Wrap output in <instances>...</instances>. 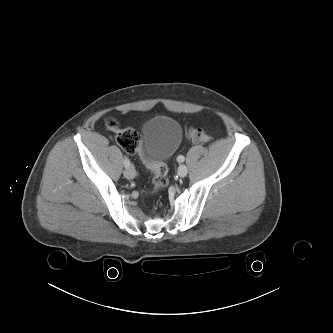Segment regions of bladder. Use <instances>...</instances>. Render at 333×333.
I'll return each mask as SVG.
<instances>
[{
	"label": "bladder",
	"mask_w": 333,
	"mask_h": 333,
	"mask_svg": "<svg viewBox=\"0 0 333 333\" xmlns=\"http://www.w3.org/2000/svg\"><path fill=\"white\" fill-rule=\"evenodd\" d=\"M143 155L148 162L158 163L169 158L182 141L180 123L168 116L149 119L142 128Z\"/></svg>",
	"instance_id": "obj_1"
}]
</instances>
